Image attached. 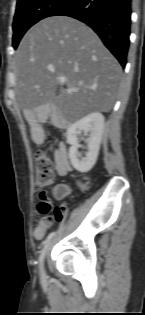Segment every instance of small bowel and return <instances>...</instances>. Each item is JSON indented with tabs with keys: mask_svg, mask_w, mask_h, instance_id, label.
<instances>
[{
	"mask_svg": "<svg viewBox=\"0 0 145 315\" xmlns=\"http://www.w3.org/2000/svg\"><path fill=\"white\" fill-rule=\"evenodd\" d=\"M32 137L35 142H41L42 134L41 129L37 123L32 124ZM54 165L55 170L60 176H66L70 171L71 167L68 161V154L66 146L63 143H60L54 149ZM70 193V187L65 184L57 185L53 189V195L57 199H63ZM42 217H50V216H42ZM58 220H61V216L57 215ZM40 220V219H39ZM51 224H40L38 221L37 226L34 229L33 235L36 239H41L47 230L50 228Z\"/></svg>",
	"mask_w": 145,
	"mask_h": 315,
	"instance_id": "obj_1",
	"label": "small bowel"
}]
</instances>
